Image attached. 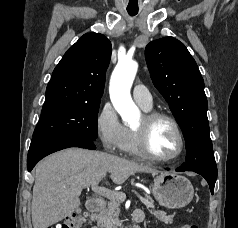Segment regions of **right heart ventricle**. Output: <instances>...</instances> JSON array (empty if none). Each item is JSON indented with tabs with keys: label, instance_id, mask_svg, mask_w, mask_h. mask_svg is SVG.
<instances>
[{
	"label": "right heart ventricle",
	"instance_id": "e07e8e85",
	"mask_svg": "<svg viewBox=\"0 0 238 228\" xmlns=\"http://www.w3.org/2000/svg\"><path fill=\"white\" fill-rule=\"evenodd\" d=\"M149 110L150 109H148L146 111H149ZM122 150L126 154H128L132 157H136V158H144L145 157L139 148L137 136H136L134 129L127 128V137H126V140H125Z\"/></svg>",
	"mask_w": 238,
	"mask_h": 228
}]
</instances>
